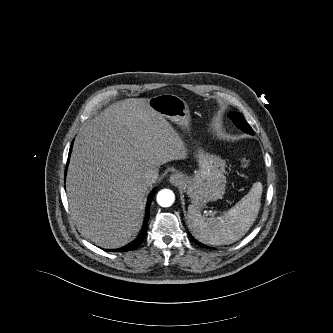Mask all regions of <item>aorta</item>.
<instances>
[{
	"instance_id": "aorta-1",
	"label": "aorta",
	"mask_w": 333,
	"mask_h": 333,
	"mask_svg": "<svg viewBox=\"0 0 333 333\" xmlns=\"http://www.w3.org/2000/svg\"><path fill=\"white\" fill-rule=\"evenodd\" d=\"M175 195L169 189H163L157 194V203L162 207H169L174 203Z\"/></svg>"
}]
</instances>
